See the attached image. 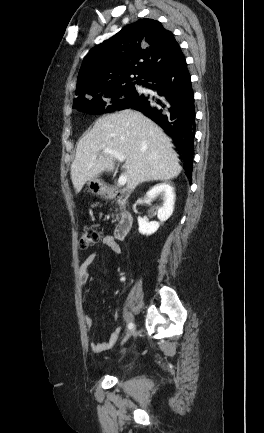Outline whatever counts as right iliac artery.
Listing matches in <instances>:
<instances>
[{
	"instance_id": "82829eb1",
	"label": "right iliac artery",
	"mask_w": 264,
	"mask_h": 433,
	"mask_svg": "<svg viewBox=\"0 0 264 433\" xmlns=\"http://www.w3.org/2000/svg\"><path fill=\"white\" fill-rule=\"evenodd\" d=\"M133 327H134V324L132 322H129L128 323V329L131 330V329H133Z\"/></svg>"
}]
</instances>
